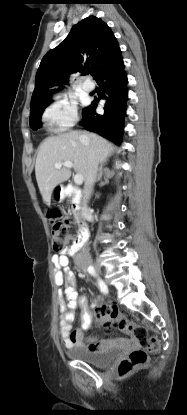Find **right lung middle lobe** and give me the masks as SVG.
<instances>
[{
    "label": "right lung middle lobe",
    "mask_w": 187,
    "mask_h": 415,
    "mask_svg": "<svg viewBox=\"0 0 187 415\" xmlns=\"http://www.w3.org/2000/svg\"><path fill=\"white\" fill-rule=\"evenodd\" d=\"M47 105L41 106L37 109H35L34 111L30 112V118H29V122H30V127L32 129H38L41 126V115L43 110L45 109Z\"/></svg>",
    "instance_id": "obj_1"
}]
</instances>
